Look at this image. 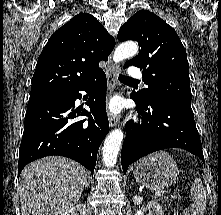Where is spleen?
<instances>
[{
    "mask_svg": "<svg viewBox=\"0 0 221 215\" xmlns=\"http://www.w3.org/2000/svg\"><path fill=\"white\" fill-rule=\"evenodd\" d=\"M191 195L193 203L191 204V215H202L206 206V193L202 181L199 178L191 186Z\"/></svg>",
    "mask_w": 221,
    "mask_h": 215,
    "instance_id": "1",
    "label": "spleen"
}]
</instances>
